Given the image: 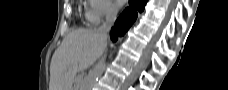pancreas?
Returning <instances> with one entry per match:
<instances>
[{
  "label": "pancreas",
  "instance_id": "obj_1",
  "mask_svg": "<svg viewBox=\"0 0 228 90\" xmlns=\"http://www.w3.org/2000/svg\"><path fill=\"white\" fill-rule=\"evenodd\" d=\"M82 85V79L81 78H76L74 82V86L76 89L80 88Z\"/></svg>",
  "mask_w": 228,
  "mask_h": 90
}]
</instances>
